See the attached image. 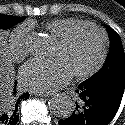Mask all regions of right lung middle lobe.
Instances as JSON below:
<instances>
[{"mask_svg": "<svg viewBox=\"0 0 125 125\" xmlns=\"http://www.w3.org/2000/svg\"><path fill=\"white\" fill-rule=\"evenodd\" d=\"M24 19H25V17L0 14V28H2V29L11 28L12 26L16 25L17 23L23 21ZM13 98H14V95L10 97L8 103H11Z\"/></svg>", "mask_w": 125, "mask_h": 125, "instance_id": "1", "label": "right lung middle lobe"}]
</instances>
